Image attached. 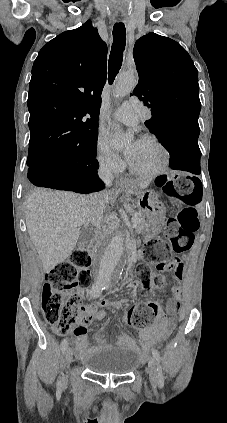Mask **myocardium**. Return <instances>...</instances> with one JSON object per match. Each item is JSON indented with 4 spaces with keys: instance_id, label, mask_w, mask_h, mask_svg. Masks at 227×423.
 I'll use <instances>...</instances> for the list:
<instances>
[{
    "instance_id": "myocardium-1",
    "label": "myocardium",
    "mask_w": 227,
    "mask_h": 423,
    "mask_svg": "<svg viewBox=\"0 0 227 423\" xmlns=\"http://www.w3.org/2000/svg\"><path fill=\"white\" fill-rule=\"evenodd\" d=\"M138 142H142V143H151L156 145L162 152L163 154V160L162 163L160 164V166L158 168H156L155 170L151 171V172H141L139 170H137L132 163L129 161V168L130 171L136 175L139 176L141 178H146V179H154L157 178L161 175H163L164 173L167 172V170L170 167L171 164V153L167 147V145L160 140L159 138H157L156 136H143L141 137Z\"/></svg>"
}]
</instances>
